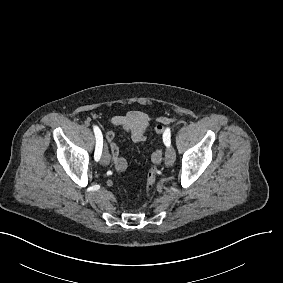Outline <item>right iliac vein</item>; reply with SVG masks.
<instances>
[{
  "instance_id": "63e3f726",
  "label": "right iliac vein",
  "mask_w": 283,
  "mask_h": 283,
  "mask_svg": "<svg viewBox=\"0 0 283 283\" xmlns=\"http://www.w3.org/2000/svg\"><path fill=\"white\" fill-rule=\"evenodd\" d=\"M101 163L104 166H107L110 163V156L106 149L103 150L102 157H101Z\"/></svg>"
}]
</instances>
